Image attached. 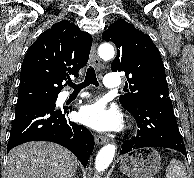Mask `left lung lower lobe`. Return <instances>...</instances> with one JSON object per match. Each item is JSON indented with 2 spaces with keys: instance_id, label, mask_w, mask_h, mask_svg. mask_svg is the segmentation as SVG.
<instances>
[{
  "instance_id": "1",
  "label": "left lung lower lobe",
  "mask_w": 194,
  "mask_h": 178,
  "mask_svg": "<svg viewBox=\"0 0 194 178\" xmlns=\"http://www.w3.org/2000/svg\"><path fill=\"white\" fill-rule=\"evenodd\" d=\"M130 113L139 130L132 139L124 141L120 154L145 147H166L180 151L187 158L170 99L137 100Z\"/></svg>"
}]
</instances>
